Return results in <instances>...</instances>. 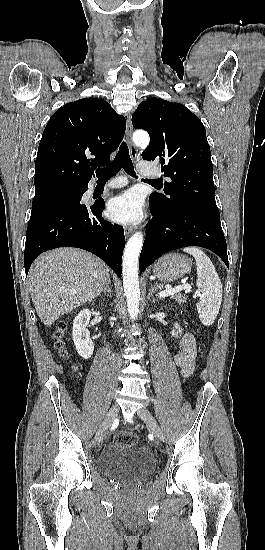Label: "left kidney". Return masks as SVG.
Returning a JSON list of instances; mask_svg holds the SVG:
<instances>
[{"mask_svg":"<svg viewBox=\"0 0 265 550\" xmlns=\"http://www.w3.org/2000/svg\"><path fill=\"white\" fill-rule=\"evenodd\" d=\"M181 333H182V329L180 328V325L178 323H175L174 328L171 331V335L173 337H178L179 335H181Z\"/></svg>","mask_w":265,"mask_h":550,"instance_id":"1","label":"left kidney"}]
</instances>
